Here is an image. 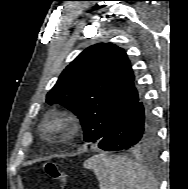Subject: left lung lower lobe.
<instances>
[{"label":"left lung lower lobe","instance_id":"obj_1","mask_svg":"<svg viewBox=\"0 0 188 189\" xmlns=\"http://www.w3.org/2000/svg\"><path fill=\"white\" fill-rule=\"evenodd\" d=\"M155 136L151 111L140 99L121 116L98 142V146L106 151L135 150L152 144Z\"/></svg>","mask_w":188,"mask_h":189}]
</instances>
